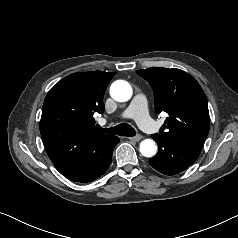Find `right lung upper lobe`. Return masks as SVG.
Here are the masks:
<instances>
[{
  "label": "right lung upper lobe",
  "mask_w": 238,
  "mask_h": 238,
  "mask_svg": "<svg viewBox=\"0 0 238 238\" xmlns=\"http://www.w3.org/2000/svg\"><path fill=\"white\" fill-rule=\"evenodd\" d=\"M115 72L73 73L48 92L40 121L46 152L64 176L88 169L116 136L94 129L95 112H104L103 96Z\"/></svg>",
  "instance_id": "obj_1"
}]
</instances>
